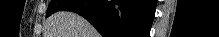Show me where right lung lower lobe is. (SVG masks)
<instances>
[{
    "label": "right lung lower lobe",
    "mask_w": 219,
    "mask_h": 37,
    "mask_svg": "<svg viewBox=\"0 0 219 37\" xmlns=\"http://www.w3.org/2000/svg\"><path fill=\"white\" fill-rule=\"evenodd\" d=\"M155 7V0H77L61 11L83 16L103 37H148Z\"/></svg>",
    "instance_id": "98d812e1"
}]
</instances>
